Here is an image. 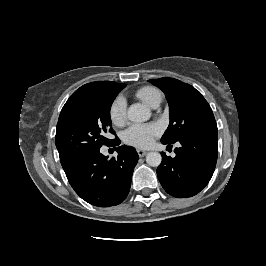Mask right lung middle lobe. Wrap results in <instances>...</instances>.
<instances>
[{"label": "right lung middle lobe", "mask_w": 266, "mask_h": 266, "mask_svg": "<svg viewBox=\"0 0 266 266\" xmlns=\"http://www.w3.org/2000/svg\"><path fill=\"white\" fill-rule=\"evenodd\" d=\"M125 86L122 83L106 86L62 109L55 137L62 166L73 164L114 141L106 138L105 133H114L110 108Z\"/></svg>", "instance_id": "obj_1"}]
</instances>
